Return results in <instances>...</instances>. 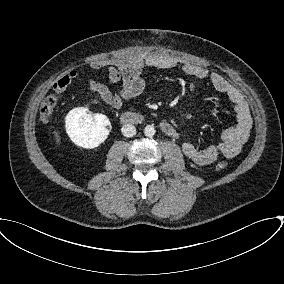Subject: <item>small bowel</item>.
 I'll return each mask as SVG.
<instances>
[{"mask_svg": "<svg viewBox=\"0 0 284 284\" xmlns=\"http://www.w3.org/2000/svg\"><path fill=\"white\" fill-rule=\"evenodd\" d=\"M179 64L178 60L169 54H139L125 61H93L91 68L107 72V84L92 81L89 91L98 94L108 105L118 108L125 100L139 96L145 89L142 72L146 67L172 69ZM184 73L200 80H206L215 90L223 93L233 105L236 123L226 128L219 141L199 148L192 142H184V155L195 164L209 165L221 156L233 158L237 156L248 140L252 128V116L248 104L239 90L225 77L208 71L206 68L186 63L182 66ZM80 71L72 70L61 76L53 85L56 92L62 93ZM122 83L121 89L112 92L108 84Z\"/></svg>", "mask_w": 284, "mask_h": 284, "instance_id": "c3829d8e", "label": "small bowel"}]
</instances>
